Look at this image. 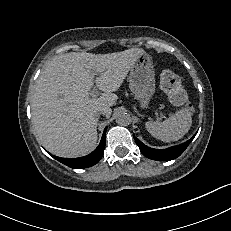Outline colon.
I'll list each match as a JSON object with an SVG mask.
<instances>
[{
  "label": "colon",
  "instance_id": "obj_1",
  "mask_svg": "<svg viewBox=\"0 0 231 231\" xmlns=\"http://www.w3.org/2000/svg\"><path fill=\"white\" fill-rule=\"evenodd\" d=\"M160 87L167 95L171 103L182 106L190 112L194 111L192 103L188 100V95L180 78L170 69H163L160 74Z\"/></svg>",
  "mask_w": 231,
  "mask_h": 231
}]
</instances>
